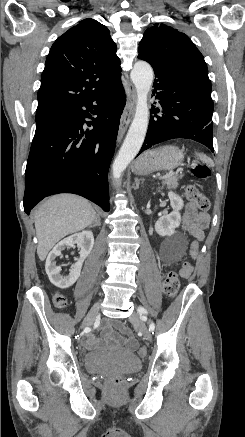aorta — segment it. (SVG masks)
<instances>
[{
  "mask_svg": "<svg viewBox=\"0 0 245 437\" xmlns=\"http://www.w3.org/2000/svg\"><path fill=\"white\" fill-rule=\"evenodd\" d=\"M131 79L137 91V103L134 119L127 136L119 150L112 166L115 179L121 177L122 172L139 152L149 123L148 93L153 82V70L145 61H137L131 71Z\"/></svg>",
  "mask_w": 245,
  "mask_h": 437,
  "instance_id": "1",
  "label": "aorta"
}]
</instances>
